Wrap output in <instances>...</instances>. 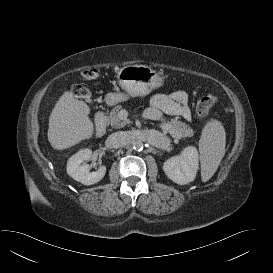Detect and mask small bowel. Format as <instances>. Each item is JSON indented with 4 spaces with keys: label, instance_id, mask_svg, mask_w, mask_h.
Returning <instances> with one entry per match:
<instances>
[{
    "label": "small bowel",
    "instance_id": "1",
    "mask_svg": "<svg viewBox=\"0 0 273 273\" xmlns=\"http://www.w3.org/2000/svg\"><path fill=\"white\" fill-rule=\"evenodd\" d=\"M188 95L183 91L168 94H156L151 98L149 116L159 120L163 115L177 116L185 120L191 119Z\"/></svg>",
    "mask_w": 273,
    "mask_h": 273
}]
</instances>
